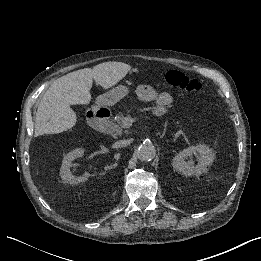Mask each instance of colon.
<instances>
[{"instance_id": "1", "label": "colon", "mask_w": 261, "mask_h": 261, "mask_svg": "<svg viewBox=\"0 0 261 261\" xmlns=\"http://www.w3.org/2000/svg\"><path fill=\"white\" fill-rule=\"evenodd\" d=\"M166 81L171 85L179 86L186 90H198L200 88V85L196 80H191L177 72L166 74Z\"/></svg>"}]
</instances>
